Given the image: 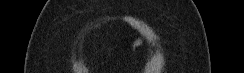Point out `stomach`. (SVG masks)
<instances>
[{
    "mask_svg": "<svg viewBox=\"0 0 244 73\" xmlns=\"http://www.w3.org/2000/svg\"><path fill=\"white\" fill-rule=\"evenodd\" d=\"M143 39L141 37H138L135 39V41L133 42V47H138L142 44Z\"/></svg>",
    "mask_w": 244,
    "mask_h": 73,
    "instance_id": "obj_1",
    "label": "stomach"
}]
</instances>
